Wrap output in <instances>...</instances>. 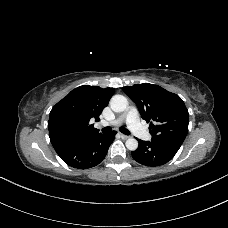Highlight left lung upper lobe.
Returning a JSON list of instances; mask_svg holds the SVG:
<instances>
[{"instance_id":"5c2ea615","label":"left lung upper lobe","mask_w":228,"mask_h":228,"mask_svg":"<svg viewBox=\"0 0 228 228\" xmlns=\"http://www.w3.org/2000/svg\"><path fill=\"white\" fill-rule=\"evenodd\" d=\"M123 90L136 103L141 117L151 121L152 139L183 143L188 132V110L178 95L149 83Z\"/></svg>"}]
</instances>
